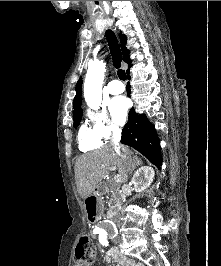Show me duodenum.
I'll use <instances>...</instances> for the list:
<instances>
[{"label": "duodenum", "instance_id": "1", "mask_svg": "<svg viewBox=\"0 0 221 266\" xmlns=\"http://www.w3.org/2000/svg\"><path fill=\"white\" fill-rule=\"evenodd\" d=\"M102 190L101 188L89 189L86 198V219L88 223H99L101 219L102 208ZM109 219L113 218V213H107Z\"/></svg>", "mask_w": 221, "mask_h": 266}]
</instances>
